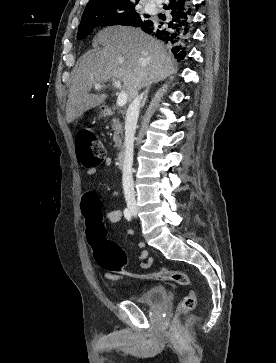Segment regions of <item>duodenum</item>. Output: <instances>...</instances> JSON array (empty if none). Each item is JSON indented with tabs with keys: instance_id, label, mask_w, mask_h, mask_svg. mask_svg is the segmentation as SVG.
<instances>
[{
	"instance_id": "duodenum-1",
	"label": "duodenum",
	"mask_w": 276,
	"mask_h": 363,
	"mask_svg": "<svg viewBox=\"0 0 276 363\" xmlns=\"http://www.w3.org/2000/svg\"><path fill=\"white\" fill-rule=\"evenodd\" d=\"M113 112L109 108L104 109V115L105 116H111ZM116 160L119 166H122L125 161V153L124 151H119L116 156Z\"/></svg>"
}]
</instances>
